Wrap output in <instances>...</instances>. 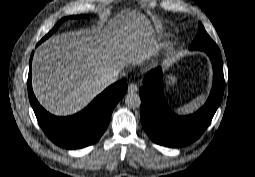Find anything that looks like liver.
I'll return each mask as SVG.
<instances>
[{"label": "liver", "instance_id": "1", "mask_svg": "<svg viewBox=\"0 0 255 177\" xmlns=\"http://www.w3.org/2000/svg\"><path fill=\"white\" fill-rule=\"evenodd\" d=\"M136 13L121 15L105 26L53 37L42 44L33 61L34 89L43 105L71 113L102 91L101 74L119 69L155 42Z\"/></svg>", "mask_w": 255, "mask_h": 177}]
</instances>
